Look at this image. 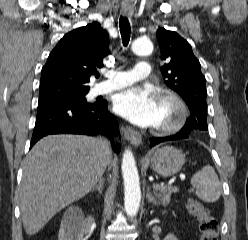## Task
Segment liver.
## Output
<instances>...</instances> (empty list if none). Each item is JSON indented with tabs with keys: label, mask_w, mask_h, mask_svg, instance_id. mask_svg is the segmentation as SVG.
<instances>
[{
	"label": "liver",
	"mask_w": 248,
	"mask_h": 240,
	"mask_svg": "<svg viewBox=\"0 0 248 240\" xmlns=\"http://www.w3.org/2000/svg\"><path fill=\"white\" fill-rule=\"evenodd\" d=\"M111 160L101 138L61 134L38 141L24 161L19 188L26 233H38L56 213L84 197Z\"/></svg>",
	"instance_id": "liver-1"
}]
</instances>
